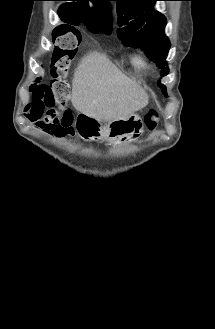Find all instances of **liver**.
Masks as SVG:
<instances>
[{
  "label": "liver",
  "instance_id": "liver-1",
  "mask_svg": "<svg viewBox=\"0 0 215 329\" xmlns=\"http://www.w3.org/2000/svg\"><path fill=\"white\" fill-rule=\"evenodd\" d=\"M71 102L87 117L109 122L144 108L149 96L104 55L91 53L81 60L75 71Z\"/></svg>",
  "mask_w": 215,
  "mask_h": 329
}]
</instances>
